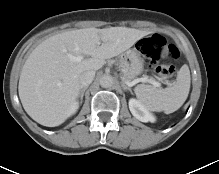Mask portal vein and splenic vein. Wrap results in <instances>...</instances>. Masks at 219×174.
<instances>
[{
	"label": "portal vein and splenic vein",
	"mask_w": 219,
	"mask_h": 174,
	"mask_svg": "<svg viewBox=\"0 0 219 174\" xmlns=\"http://www.w3.org/2000/svg\"><path fill=\"white\" fill-rule=\"evenodd\" d=\"M71 58H72L73 60H75V61H81V60H83L84 56H78V57H73V56H71ZM145 81L150 82V83L153 84L154 86H157V87L160 86V83H158V82H156V81H153V80H150V79H148L147 77L139 78V79H138V82H145Z\"/></svg>",
	"instance_id": "obj_1"
}]
</instances>
